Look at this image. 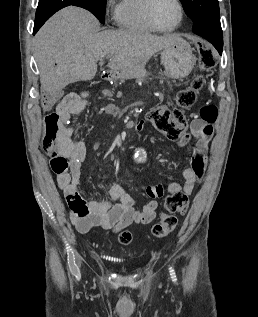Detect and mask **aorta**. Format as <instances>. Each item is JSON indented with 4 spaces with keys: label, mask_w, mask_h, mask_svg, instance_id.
Returning <instances> with one entry per match:
<instances>
[{
    "label": "aorta",
    "mask_w": 258,
    "mask_h": 317,
    "mask_svg": "<svg viewBox=\"0 0 258 317\" xmlns=\"http://www.w3.org/2000/svg\"><path fill=\"white\" fill-rule=\"evenodd\" d=\"M136 157H137V160L140 162L145 159V153L137 154Z\"/></svg>",
    "instance_id": "aorta-1"
}]
</instances>
